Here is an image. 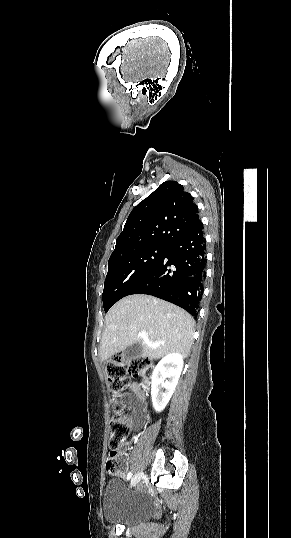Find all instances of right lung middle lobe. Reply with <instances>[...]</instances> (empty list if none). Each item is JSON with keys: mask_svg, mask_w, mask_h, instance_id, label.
Segmentation results:
<instances>
[{"mask_svg": "<svg viewBox=\"0 0 291 538\" xmlns=\"http://www.w3.org/2000/svg\"><path fill=\"white\" fill-rule=\"evenodd\" d=\"M169 246L153 245L110 258L102 294L105 312L129 295L152 271Z\"/></svg>", "mask_w": 291, "mask_h": 538, "instance_id": "dd1d6c3e", "label": "right lung middle lobe"}]
</instances>
